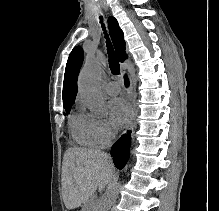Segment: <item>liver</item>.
<instances>
[{
    "label": "liver",
    "mask_w": 219,
    "mask_h": 211,
    "mask_svg": "<svg viewBox=\"0 0 219 211\" xmlns=\"http://www.w3.org/2000/svg\"><path fill=\"white\" fill-rule=\"evenodd\" d=\"M113 173V163L102 151L68 147L62 165L63 199L67 209L87 203L97 187H105Z\"/></svg>",
    "instance_id": "1"
}]
</instances>
